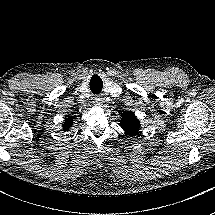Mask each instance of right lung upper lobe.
I'll return each mask as SVG.
<instances>
[{
	"label": "right lung upper lobe",
	"mask_w": 215,
	"mask_h": 215,
	"mask_svg": "<svg viewBox=\"0 0 215 215\" xmlns=\"http://www.w3.org/2000/svg\"><path fill=\"white\" fill-rule=\"evenodd\" d=\"M73 118H74V117L69 116V117L65 120V122L63 123V129H64L65 131H68L69 128L72 126V124H73Z\"/></svg>",
	"instance_id": "1"
}]
</instances>
